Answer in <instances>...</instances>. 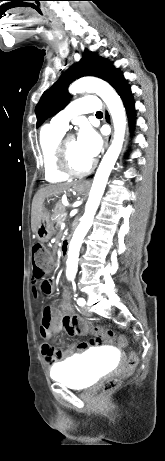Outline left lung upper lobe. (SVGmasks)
I'll list each match as a JSON object with an SVG mask.
<instances>
[{
	"instance_id": "1",
	"label": "left lung upper lobe",
	"mask_w": 165,
	"mask_h": 461,
	"mask_svg": "<svg viewBox=\"0 0 165 461\" xmlns=\"http://www.w3.org/2000/svg\"><path fill=\"white\" fill-rule=\"evenodd\" d=\"M120 73L119 69H115L106 59L98 58L97 54L85 50L82 59L64 72L41 96L36 106L37 126L67 105L69 100L67 88L75 79L91 75L111 85Z\"/></svg>"
}]
</instances>
